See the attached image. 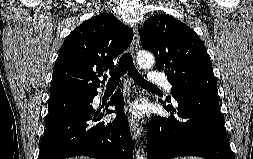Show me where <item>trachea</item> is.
<instances>
[{
	"label": "trachea",
	"mask_w": 253,
	"mask_h": 159,
	"mask_svg": "<svg viewBox=\"0 0 253 159\" xmlns=\"http://www.w3.org/2000/svg\"><path fill=\"white\" fill-rule=\"evenodd\" d=\"M128 72V75L140 86L145 88H157V86L145 80L134 66L132 55L129 52L124 53L119 60L118 65L110 71L109 82H119L120 77Z\"/></svg>",
	"instance_id": "trachea-1"
}]
</instances>
